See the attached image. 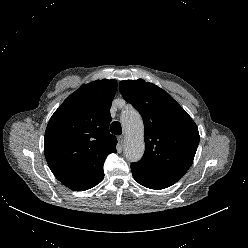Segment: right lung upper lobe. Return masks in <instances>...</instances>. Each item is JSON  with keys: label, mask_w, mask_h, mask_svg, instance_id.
<instances>
[{"label": "right lung upper lobe", "mask_w": 248, "mask_h": 248, "mask_svg": "<svg viewBox=\"0 0 248 248\" xmlns=\"http://www.w3.org/2000/svg\"><path fill=\"white\" fill-rule=\"evenodd\" d=\"M115 80H97L71 94L52 115L45 132L44 152L54 176L74 191L99 184L107 155L116 153L109 132Z\"/></svg>", "instance_id": "1"}]
</instances>
